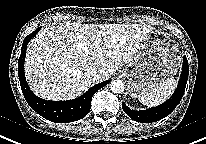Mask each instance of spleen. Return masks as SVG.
<instances>
[{
	"label": "spleen",
	"mask_w": 206,
	"mask_h": 144,
	"mask_svg": "<svg viewBox=\"0 0 206 144\" xmlns=\"http://www.w3.org/2000/svg\"><path fill=\"white\" fill-rule=\"evenodd\" d=\"M176 86V81L170 78L159 88L143 94L139 100L143 105L155 107L166 101L173 93Z\"/></svg>",
	"instance_id": "spleen-1"
}]
</instances>
